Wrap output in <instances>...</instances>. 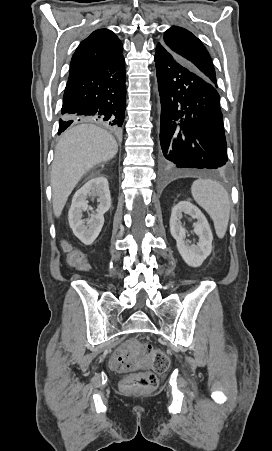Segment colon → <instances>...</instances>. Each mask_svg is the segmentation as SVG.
<instances>
[{
  "label": "colon",
  "instance_id": "colon-1",
  "mask_svg": "<svg viewBox=\"0 0 272 451\" xmlns=\"http://www.w3.org/2000/svg\"><path fill=\"white\" fill-rule=\"evenodd\" d=\"M64 249L68 251L69 260H73L74 271H85L83 253L77 247H70L64 244ZM159 348L153 347L152 342H142L141 347L133 352L126 353L125 350L117 352L113 365L115 369L120 370V374H127L125 385L127 387L140 386L146 389H155L158 386L156 373H163L168 367V358L161 352L157 353ZM139 365H152V372H137Z\"/></svg>",
  "mask_w": 272,
  "mask_h": 451
}]
</instances>
